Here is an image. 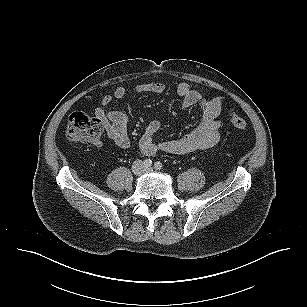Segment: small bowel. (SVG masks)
<instances>
[{
	"label": "small bowel",
	"instance_id": "c3829d8e",
	"mask_svg": "<svg viewBox=\"0 0 307 307\" xmlns=\"http://www.w3.org/2000/svg\"><path fill=\"white\" fill-rule=\"evenodd\" d=\"M138 93L160 94L165 91V85L160 82L142 83L136 86ZM176 91L182 98L181 106L187 109L199 106L201 120L199 124L188 134L177 138L157 142L156 133L161 129L159 121H151L139 141L140 151L147 156L158 152H166L178 156H186L190 153L205 150L216 146L221 139L222 123L218 119L222 110V97H209L206 93L192 88L187 83L181 82ZM127 93L123 86H118L112 95H106L102 99L103 105L111 103L113 97L121 99ZM95 116L101 122L107 137L121 150H126L131 145L128 134V115L124 108L105 111L102 107L95 110ZM96 147L102 146V141L93 143Z\"/></svg>",
	"mask_w": 307,
	"mask_h": 307
}]
</instances>
